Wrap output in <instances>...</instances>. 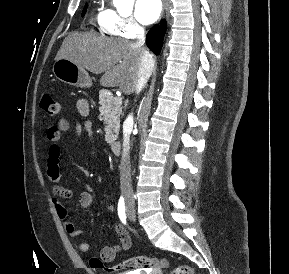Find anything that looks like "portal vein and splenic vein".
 Returning a JSON list of instances; mask_svg holds the SVG:
<instances>
[{"instance_id": "18ae733b", "label": "portal vein and splenic vein", "mask_w": 289, "mask_h": 274, "mask_svg": "<svg viewBox=\"0 0 289 274\" xmlns=\"http://www.w3.org/2000/svg\"><path fill=\"white\" fill-rule=\"evenodd\" d=\"M117 101L120 102V103H122V98L118 97V98H117Z\"/></svg>"}]
</instances>
